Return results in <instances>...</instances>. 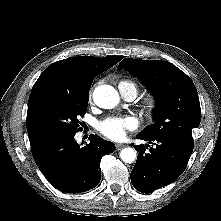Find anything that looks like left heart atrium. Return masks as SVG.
Returning a JSON list of instances; mask_svg holds the SVG:
<instances>
[{
    "instance_id": "obj_1",
    "label": "left heart atrium",
    "mask_w": 221,
    "mask_h": 221,
    "mask_svg": "<svg viewBox=\"0 0 221 221\" xmlns=\"http://www.w3.org/2000/svg\"><path fill=\"white\" fill-rule=\"evenodd\" d=\"M138 122L133 116L109 117L101 121L98 130L111 140H121L128 131L137 128Z\"/></svg>"
}]
</instances>
